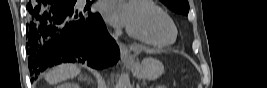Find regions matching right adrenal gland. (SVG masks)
Returning a JSON list of instances; mask_svg holds the SVG:
<instances>
[{
  "label": "right adrenal gland",
  "mask_w": 267,
  "mask_h": 88,
  "mask_svg": "<svg viewBox=\"0 0 267 88\" xmlns=\"http://www.w3.org/2000/svg\"><path fill=\"white\" fill-rule=\"evenodd\" d=\"M80 79H84V80H87L88 78H87V77H85V78H82V77H81ZM90 80H91V81H93L92 79H90Z\"/></svg>",
  "instance_id": "2a0ac1e0"
}]
</instances>
